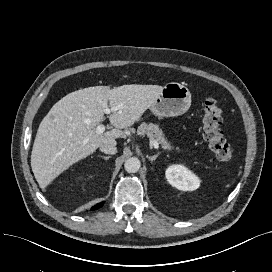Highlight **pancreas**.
Wrapping results in <instances>:
<instances>
[{
  "label": "pancreas",
  "instance_id": "obj_1",
  "mask_svg": "<svg viewBox=\"0 0 272 272\" xmlns=\"http://www.w3.org/2000/svg\"><path fill=\"white\" fill-rule=\"evenodd\" d=\"M137 134L141 136L147 135L149 137L154 138L164 150L170 151L174 149L171 143L168 142L162 129L159 128L158 124L153 123L147 124L144 122L138 127Z\"/></svg>",
  "mask_w": 272,
  "mask_h": 272
}]
</instances>
